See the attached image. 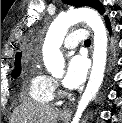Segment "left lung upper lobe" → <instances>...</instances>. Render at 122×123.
Instances as JSON below:
<instances>
[{"label":"left lung upper lobe","mask_w":122,"mask_h":123,"mask_svg":"<svg viewBox=\"0 0 122 123\" xmlns=\"http://www.w3.org/2000/svg\"><path fill=\"white\" fill-rule=\"evenodd\" d=\"M64 2L75 7L89 6L98 10L101 15L104 13L103 5L98 0H64Z\"/></svg>","instance_id":"1"}]
</instances>
